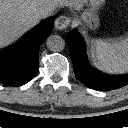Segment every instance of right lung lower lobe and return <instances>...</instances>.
Listing matches in <instances>:
<instances>
[{
  "label": "right lung lower lobe",
  "instance_id": "right-lung-lower-lobe-1",
  "mask_svg": "<svg viewBox=\"0 0 128 128\" xmlns=\"http://www.w3.org/2000/svg\"><path fill=\"white\" fill-rule=\"evenodd\" d=\"M54 18L42 22L10 53L0 55V83L21 86L38 72V55L42 41L52 32Z\"/></svg>",
  "mask_w": 128,
  "mask_h": 128
}]
</instances>
